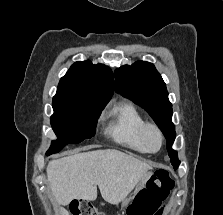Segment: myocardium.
<instances>
[{
    "mask_svg": "<svg viewBox=\"0 0 223 215\" xmlns=\"http://www.w3.org/2000/svg\"><path fill=\"white\" fill-rule=\"evenodd\" d=\"M151 130L154 131L158 136L159 145L157 148H151L147 145V142H146L147 134ZM141 143H142L143 150L147 153H157L160 151L163 145V134L160 128L155 123L145 122V124L143 125L141 129Z\"/></svg>",
    "mask_w": 223,
    "mask_h": 215,
    "instance_id": "myocardium-1",
    "label": "myocardium"
}]
</instances>
